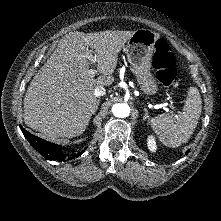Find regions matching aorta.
<instances>
[{
  "label": "aorta",
  "mask_w": 221,
  "mask_h": 221,
  "mask_svg": "<svg viewBox=\"0 0 221 221\" xmlns=\"http://www.w3.org/2000/svg\"><path fill=\"white\" fill-rule=\"evenodd\" d=\"M112 113L118 118H125L130 114V107L126 103H117L112 106Z\"/></svg>",
  "instance_id": "762f6f07"
}]
</instances>
